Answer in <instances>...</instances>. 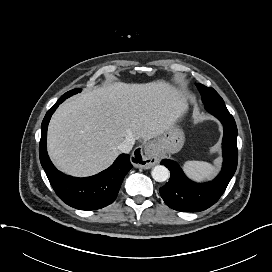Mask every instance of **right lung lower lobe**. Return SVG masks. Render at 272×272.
Segmentation results:
<instances>
[{"label": "right lung lower lobe", "mask_w": 272, "mask_h": 272, "mask_svg": "<svg viewBox=\"0 0 272 272\" xmlns=\"http://www.w3.org/2000/svg\"><path fill=\"white\" fill-rule=\"evenodd\" d=\"M62 100L46 113L41 125L39 156L41 165L58 197L80 210H95L111 204L117 197L125 175L132 168L128 154H121L106 170L87 178H75L58 171L49 159L46 147L50 118Z\"/></svg>", "instance_id": "1"}]
</instances>
